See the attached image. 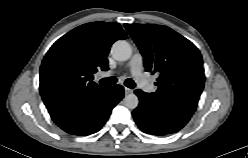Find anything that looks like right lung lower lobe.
<instances>
[{
  "label": "right lung lower lobe",
  "mask_w": 248,
  "mask_h": 158,
  "mask_svg": "<svg viewBox=\"0 0 248 158\" xmlns=\"http://www.w3.org/2000/svg\"><path fill=\"white\" fill-rule=\"evenodd\" d=\"M123 96L124 88L121 85L104 87L79 103L49 113L56 125L65 132L89 135L100 130Z\"/></svg>",
  "instance_id": "right-lung-lower-lobe-1"
}]
</instances>
